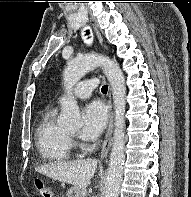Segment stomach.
<instances>
[{"label":"stomach","mask_w":191,"mask_h":197,"mask_svg":"<svg viewBox=\"0 0 191 197\" xmlns=\"http://www.w3.org/2000/svg\"><path fill=\"white\" fill-rule=\"evenodd\" d=\"M85 195L86 191L76 186H72L67 192V197H85Z\"/></svg>","instance_id":"obj_1"}]
</instances>
